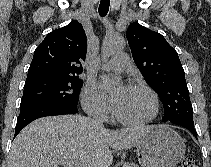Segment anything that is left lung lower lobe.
Segmentation results:
<instances>
[{"mask_svg":"<svg viewBox=\"0 0 211 167\" xmlns=\"http://www.w3.org/2000/svg\"><path fill=\"white\" fill-rule=\"evenodd\" d=\"M177 125H180L182 127H185L186 129H188L190 132H192V134L197 138V132L194 129V125H189V124H183V123H174Z\"/></svg>","mask_w":211,"mask_h":167,"instance_id":"left-lung-lower-lobe-1","label":"left lung lower lobe"}]
</instances>
